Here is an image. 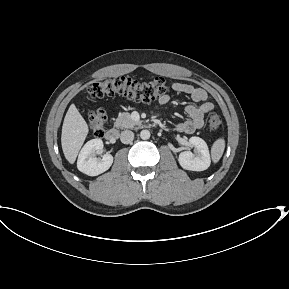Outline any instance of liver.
<instances>
[{
	"mask_svg": "<svg viewBox=\"0 0 289 289\" xmlns=\"http://www.w3.org/2000/svg\"><path fill=\"white\" fill-rule=\"evenodd\" d=\"M88 125L74 104H71L64 118L61 145L65 158L71 164L81 149L87 134Z\"/></svg>",
	"mask_w": 289,
	"mask_h": 289,
	"instance_id": "1",
	"label": "liver"
}]
</instances>
